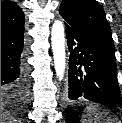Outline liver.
<instances>
[{"label":"liver","mask_w":122,"mask_h":123,"mask_svg":"<svg viewBox=\"0 0 122 123\" xmlns=\"http://www.w3.org/2000/svg\"><path fill=\"white\" fill-rule=\"evenodd\" d=\"M4 114H1V123L4 121Z\"/></svg>","instance_id":"6515ba94"}]
</instances>
